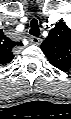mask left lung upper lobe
Returning <instances> with one entry per match:
<instances>
[{"instance_id":"obj_1","label":"left lung upper lobe","mask_w":71,"mask_h":119,"mask_svg":"<svg viewBox=\"0 0 71 119\" xmlns=\"http://www.w3.org/2000/svg\"><path fill=\"white\" fill-rule=\"evenodd\" d=\"M41 49L54 67L62 71L71 69V29L66 24L56 23Z\"/></svg>"}]
</instances>
